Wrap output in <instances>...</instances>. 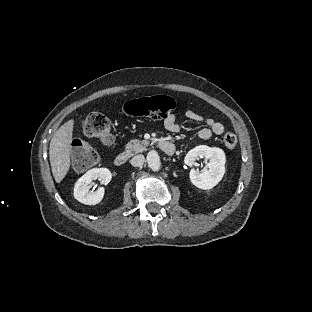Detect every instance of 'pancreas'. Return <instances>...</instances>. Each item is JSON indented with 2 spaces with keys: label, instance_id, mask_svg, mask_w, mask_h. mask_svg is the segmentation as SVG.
<instances>
[{
  "label": "pancreas",
  "instance_id": "pancreas-1",
  "mask_svg": "<svg viewBox=\"0 0 312 312\" xmlns=\"http://www.w3.org/2000/svg\"><path fill=\"white\" fill-rule=\"evenodd\" d=\"M150 145L149 141H140L138 139H131L125 146L126 153L129 156L136 155L147 149Z\"/></svg>",
  "mask_w": 312,
  "mask_h": 312
}]
</instances>
